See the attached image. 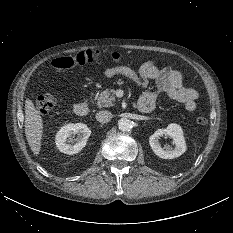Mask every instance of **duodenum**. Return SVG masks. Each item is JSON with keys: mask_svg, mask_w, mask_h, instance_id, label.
I'll return each mask as SVG.
<instances>
[{"mask_svg": "<svg viewBox=\"0 0 233 233\" xmlns=\"http://www.w3.org/2000/svg\"><path fill=\"white\" fill-rule=\"evenodd\" d=\"M137 108L140 112H149L151 110L150 106L145 104H138ZM88 110V104L84 100L76 102L73 106V112L77 116H85L88 113Z\"/></svg>", "mask_w": 233, "mask_h": 233, "instance_id": "410a0bca", "label": "duodenum"}]
</instances>
